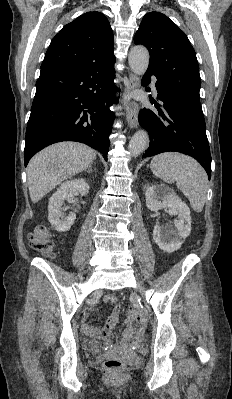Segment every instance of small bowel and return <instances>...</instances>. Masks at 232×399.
<instances>
[{
	"mask_svg": "<svg viewBox=\"0 0 232 399\" xmlns=\"http://www.w3.org/2000/svg\"><path fill=\"white\" fill-rule=\"evenodd\" d=\"M117 300V296L115 294H107L104 297V301L105 302H116ZM120 316V307L119 306H115L112 310V315H111V319L103 326H91L85 322L79 321L76 323V328L79 330H82L84 332H88V333H107L109 331H111L114 326L115 323L117 321V319Z\"/></svg>",
	"mask_w": 232,
	"mask_h": 399,
	"instance_id": "obj_1",
	"label": "small bowel"
}]
</instances>
